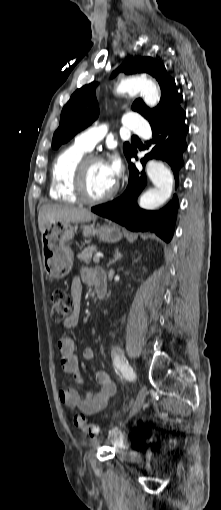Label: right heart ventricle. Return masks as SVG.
Returning <instances> with one entry per match:
<instances>
[{
	"instance_id": "e07e8e85",
	"label": "right heart ventricle",
	"mask_w": 221,
	"mask_h": 510,
	"mask_svg": "<svg viewBox=\"0 0 221 510\" xmlns=\"http://www.w3.org/2000/svg\"><path fill=\"white\" fill-rule=\"evenodd\" d=\"M88 152L76 142L63 149L55 158L51 169L49 195L52 199L77 203L72 189V176L77 162Z\"/></svg>"
}]
</instances>
